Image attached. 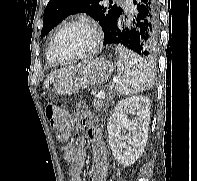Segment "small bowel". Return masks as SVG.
Listing matches in <instances>:
<instances>
[{
	"mask_svg": "<svg viewBox=\"0 0 197 181\" xmlns=\"http://www.w3.org/2000/svg\"><path fill=\"white\" fill-rule=\"evenodd\" d=\"M75 122L84 130L85 137L79 138L75 144L64 148V159L70 163L69 181H83L82 171L86 160V144L90 142L92 153V181H106L107 151L101 137L97 118L85 104H79L74 110ZM73 120H71V124Z\"/></svg>",
	"mask_w": 197,
	"mask_h": 181,
	"instance_id": "1",
	"label": "small bowel"
}]
</instances>
